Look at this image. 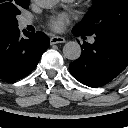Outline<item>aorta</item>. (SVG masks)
Returning <instances> with one entry per match:
<instances>
[{"label":"aorta","instance_id":"762f6f07","mask_svg":"<svg viewBox=\"0 0 128 128\" xmlns=\"http://www.w3.org/2000/svg\"><path fill=\"white\" fill-rule=\"evenodd\" d=\"M59 0H36L37 4L42 8H51L57 4ZM63 55L69 60H77L81 56V47L76 41H69L63 47Z\"/></svg>","mask_w":128,"mask_h":128}]
</instances>
